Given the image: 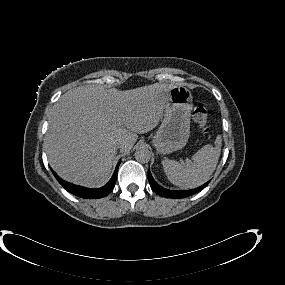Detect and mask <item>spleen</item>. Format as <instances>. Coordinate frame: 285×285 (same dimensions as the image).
<instances>
[{
    "label": "spleen",
    "instance_id": "spleen-1",
    "mask_svg": "<svg viewBox=\"0 0 285 285\" xmlns=\"http://www.w3.org/2000/svg\"><path fill=\"white\" fill-rule=\"evenodd\" d=\"M222 138L216 137L215 147L203 146L185 163L175 160H163L162 166L168 180L182 188H192L208 181L214 172L221 152Z\"/></svg>",
    "mask_w": 285,
    "mask_h": 285
}]
</instances>
